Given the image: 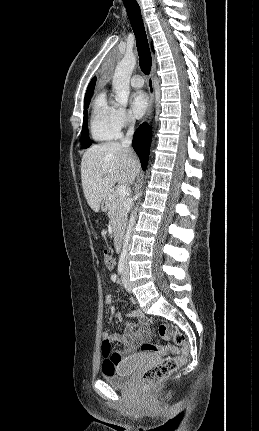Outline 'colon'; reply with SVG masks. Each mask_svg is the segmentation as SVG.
I'll use <instances>...</instances> for the list:
<instances>
[{"label": "colon", "instance_id": "1", "mask_svg": "<svg viewBox=\"0 0 259 431\" xmlns=\"http://www.w3.org/2000/svg\"><path fill=\"white\" fill-rule=\"evenodd\" d=\"M105 265L108 270L114 267L113 258L105 252L104 257ZM158 333L165 340H172L176 346L161 347L152 343H143L140 347L142 352L146 353H159L168 355L163 358L158 364L147 369L142 376V383L146 387H151L175 373L181 367L189 354V345L186 341L184 334L167 324L158 325ZM102 354L108 355L111 352V343L102 341ZM173 355V356H170ZM114 369L105 365L104 372H112Z\"/></svg>", "mask_w": 259, "mask_h": 431}]
</instances>
